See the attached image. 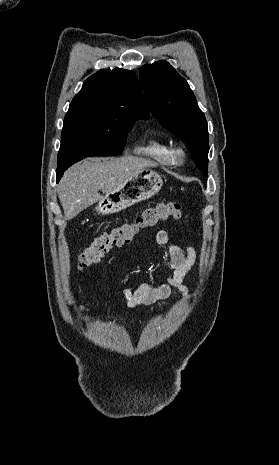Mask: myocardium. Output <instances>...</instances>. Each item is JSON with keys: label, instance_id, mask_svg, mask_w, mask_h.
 Instances as JSON below:
<instances>
[{"label": "myocardium", "instance_id": "f54148a6", "mask_svg": "<svg viewBox=\"0 0 279 465\" xmlns=\"http://www.w3.org/2000/svg\"><path fill=\"white\" fill-rule=\"evenodd\" d=\"M171 154L174 160L181 161L185 156V150L181 145H175L171 149Z\"/></svg>", "mask_w": 279, "mask_h": 465}]
</instances>
